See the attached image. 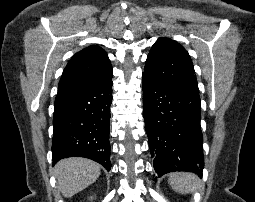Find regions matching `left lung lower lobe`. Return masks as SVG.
<instances>
[{
    "instance_id": "left-lung-lower-lobe-1",
    "label": "left lung lower lobe",
    "mask_w": 255,
    "mask_h": 202,
    "mask_svg": "<svg viewBox=\"0 0 255 202\" xmlns=\"http://www.w3.org/2000/svg\"><path fill=\"white\" fill-rule=\"evenodd\" d=\"M143 116L158 176L204 167L200 97L168 88L143 75Z\"/></svg>"
}]
</instances>
